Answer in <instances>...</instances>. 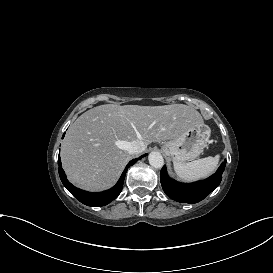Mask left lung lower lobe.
<instances>
[{"mask_svg":"<svg viewBox=\"0 0 273 273\" xmlns=\"http://www.w3.org/2000/svg\"><path fill=\"white\" fill-rule=\"evenodd\" d=\"M225 164L226 161L221 164L215 174L206 180L190 184L179 183L170 179L166 167L164 166L160 172L162 188L167 196L177 202H187L189 204L197 203L203 200L220 184Z\"/></svg>","mask_w":273,"mask_h":273,"instance_id":"left-lung-lower-lobe-1","label":"left lung lower lobe"}]
</instances>
